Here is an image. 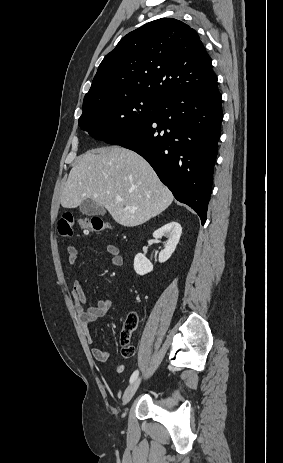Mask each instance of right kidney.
<instances>
[{"label":"right kidney","instance_id":"obj_1","mask_svg":"<svg viewBox=\"0 0 283 463\" xmlns=\"http://www.w3.org/2000/svg\"><path fill=\"white\" fill-rule=\"evenodd\" d=\"M182 233V227L178 222L172 221L153 233L155 239L163 236L168 238L165 248L159 253V262L167 261L175 251ZM134 270L138 275H145L153 270V265L144 254L138 253L134 259Z\"/></svg>","mask_w":283,"mask_h":463}]
</instances>
